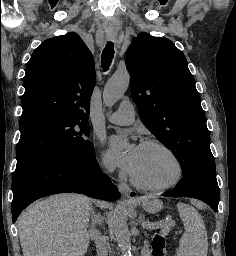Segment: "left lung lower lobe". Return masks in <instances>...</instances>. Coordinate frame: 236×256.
<instances>
[{
	"mask_svg": "<svg viewBox=\"0 0 236 256\" xmlns=\"http://www.w3.org/2000/svg\"><path fill=\"white\" fill-rule=\"evenodd\" d=\"M163 196L196 198L207 203L214 212H217L220 190L216 175L205 172H191L184 176L173 190L165 192Z\"/></svg>",
	"mask_w": 236,
	"mask_h": 256,
	"instance_id": "1",
	"label": "left lung lower lobe"
}]
</instances>
